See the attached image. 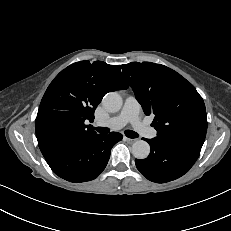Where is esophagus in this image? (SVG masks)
<instances>
[{"mask_svg": "<svg viewBox=\"0 0 231 231\" xmlns=\"http://www.w3.org/2000/svg\"><path fill=\"white\" fill-rule=\"evenodd\" d=\"M124 140L127 141L128 143H131V144L137 141V139H134V138L132 139V138H128V137H124Z\"/></svg>", "mask_w": 231, "mask_h": 231, "instance_id": "1", "label": "esophagus"}]
</instances>
